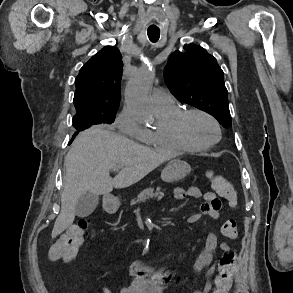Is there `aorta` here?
Wrapping results in <instances>:
<instances>
[{
    "mask_svg": "<svg viewBox=\"0 0 293 293\" xmlns=\"http://www.w3.org/2000/svg\"><path fill=\"white\" fill-rule=\"evenodd\" d=\"M154 80V71L144 65L128 82L125 90L126 101L134 116L144 122L152 123L155 119L149 90Z\"/></svg>",
    "mask_w": 293,
    "mask_h": 293,
    "instance_id": "obj_1",
    "label": "aorta"
}]
</instances>
